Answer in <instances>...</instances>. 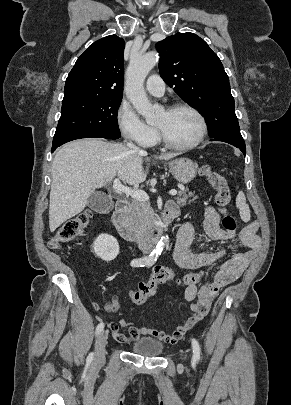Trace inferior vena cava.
Here are the masks:
<instances>
[{
	"label": "inferior vena cava",
	"mask_w": 291,
	"mask_h": 405,
	"mask_svg": "<svg viewBox=\"0 0 291 405\" xmlns=\"http://www.w3.org/2000/svg\"><path fill=\"white\" fill-rule=\"evenodd\" d=\"M127 146L129 148H131L132 150H134V151H137V152H140V153L144 152L143 150H140L137 146H135L133 143H128Z\"/></svg>",
	"instance_id": "inferior-vena-cava-1"
}]
</instances>
